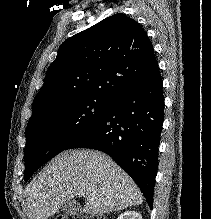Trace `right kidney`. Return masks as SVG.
Wrapping results in <instances>:
<instances>
[{
  "mask_svg": "<svg viewBox=\"0 0 211 219\" xmlns=\"http://www.w3.org/2000/svg\"><path fill=\"white\" fill-rule=\"evenodd\" d=\"M117 219H142L140 213L136 211H125Z\"/></svg>",
  "mask_w": 211,
  "mask_h": 219,
  "instance_id": "1",
  "label": "right kidney"
}]
</instances>
